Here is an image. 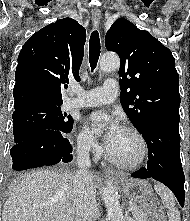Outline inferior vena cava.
<instances>
[{"mask_svg":"<svg viewBox=\"0 0 190 221\" xmlns=\"http://www.w3.org/2000/svg\"><path fill=\"white\" fill-rule=\"evenodd\" d=\"M89 149L87 141L78 142L76 164L79 170L73 180L76 195L75 221H96L99 215L92 176L88 172L90 167Z\"/></svg>","mask_w":190,"mask_h":221,"instance_id":"obj_1","label":"inferior vena cava"}]
</instances>
